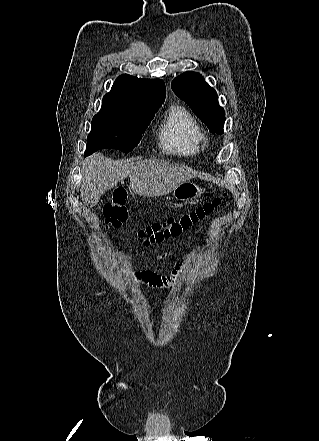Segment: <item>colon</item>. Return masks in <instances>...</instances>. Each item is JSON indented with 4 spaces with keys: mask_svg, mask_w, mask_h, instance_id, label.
<instances>
[{
    "mask_svg": "<svg viewBox=\"0 0 319 441\" xmlns=\"http://www.w3.org/2000/svg\"><path fill=\"white\" fill-rule=\"evenodd\" d=\"M127 193L117 190L111 200L104 205V223L107 229L119 228L127 219ZM221 204L220 198H215L195 209L172 216L166 221L153 223L138 231L139 238L144 246L161 242L167 238L177 236L192 225L212 214Z\"/></svg>",
    "mask_w": 319,
    "mask_h": 441,
    "instance_id": "colon-1",
    "label": "colon"
}]
</instances>
